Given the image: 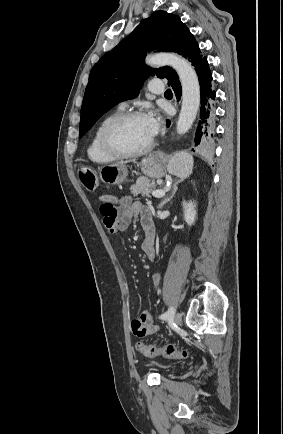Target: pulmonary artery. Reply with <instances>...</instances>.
I'll return each instance as SVG.
<instances>
[{"label": "pulmonary artery", "instance_id": "pulmonary-artery-1", "mask_svg": "<svg viewBox=\"0 0 283 434\" xmlns=\"http://www.w3.org/2000/svg\"><path fill=\"white\" fill-rule=\"evenodd\" d=\"M149 91L153 94H161L164 91V85L160 80H152L149 83ZM125 106V103L120 105L121 108H124Z\"/></svg>", "mask_w": 283, "mask_h": 434}]
</instances>
